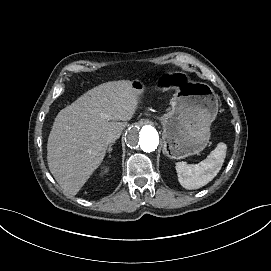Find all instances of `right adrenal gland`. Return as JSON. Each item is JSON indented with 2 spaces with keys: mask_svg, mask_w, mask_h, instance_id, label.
Returning a JSON list of instances; mask_svg holds the SVG:
<instances>
[{
  "mask_svg": "<svg viewBox=\"0 0 271 271\" xmlns=\"http://www.w3.org/2000/svg\"><path fill=\"white\" fill-rule=\"evenodd\" d=\"M113 144H114V142H111V143L109 144V147H108V150H107V152H108V154H109V157H110V154H111V147H112Z\"/></svg>",
  "mask_w": 271,
  "mask_h": 271,
  "instance_id": "1",
  "label": "right adrenal gland"
}]
</instances>
